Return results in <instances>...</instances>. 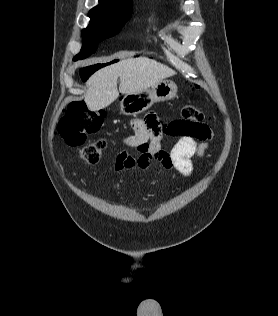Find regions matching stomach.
<instances>
[{
	"label": "stomach",
	"mask_w": 278,
	"mask_h": 316,
	"mask_svg": "<svg viewBox=\"0 0 278 316\" xmlns=\"http://www.w3.org/2000/svg\"><path fill=\"white\" fill-rule=\"evenodd\" d=\"M177 94V85L170 80H161L151 89L140 93L126 94L121 102L120 109L125 115H137L149 109L155 102H163L174 98Z\"/></svg>",
	"instance_id": "1"
}]
</instances>
